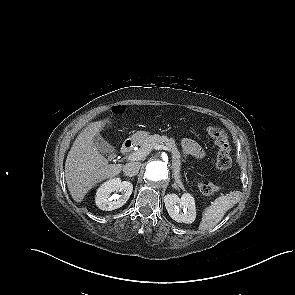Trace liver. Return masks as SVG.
Wrapping results in <instances>:
<instances>
[{"instance_id":"6515ba94","label":"liver","mask_w":295,"mask_h":295,"mask_svg":"<svg viewBox=\"0 0 295 295\" xmlns=\"http://www.w3.org/2000/svg\"><path fill=\"white\" fill-rule=\"evenodd\" d=\"M109 121L80 134L73 143L65 162V179L68 190L76 202H82L88 191L99 182L120 174L121 164H109L97 150L93 137Z\"/></svg>"}]
</instances>
